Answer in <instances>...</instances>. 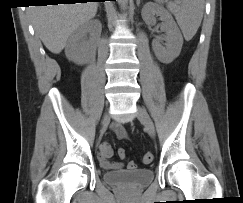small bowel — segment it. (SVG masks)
Masks as SVG:
<instances>
[{
  "label": "small bowel",
  "instance_id": "1",
  "mask_svg": "<svg viewBox=\"0 0 243 203\" xmlns=\"http://www.w3.org/2000/svg\"><path fill=\"white\" fill-rule=\"evenodd\" d=\"M112 130L115 132L117 137L120 139H124L127 137L126 130L119 123L113 124ZM118 155L120 158L125 157V155L119 154V150H118ZM112 156H113V148L111 147L110 143L107 141L102 142L99 146V154H98L101 167H103L104 169H113V170L122 169V163L110 161Z\"/></svg>",
  "mask_w": 243,
  "mask_h": 203
}]
</instances>
